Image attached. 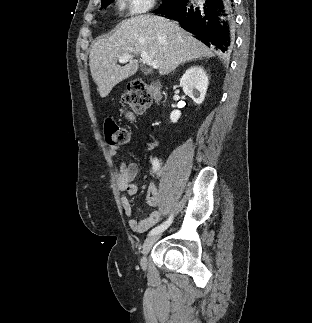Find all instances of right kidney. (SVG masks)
Here are the masks:
<instances>
[{
  "label": "right kidney",
  "instance_id": "obj_1",
  "mask_svg": "<svg viewBox=\"0 0 312 323\" xmlns=\"http://www.w3.org/2000/svg\"><path fill=\"white\" fill-rule=\"evenodd\" d=\"M208 84V76L201 66H191L180 80V86L184 94L190 96L195 104H202L204 102ZM180 116V110H173L170 114L171 122L176 124Z\"/></svg>",
  "mask_w": 312,
  "mask_h": 323
}]
</instances>
